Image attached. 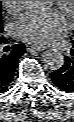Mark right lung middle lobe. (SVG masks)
<instances>
[{
    "instance_id": "obj_1",
    "label": "right lung middle lobe",
    "mask_w": 74,
    "mask_h": 122,
    "mask_svg": "<svg viewBox=\"0 0 74 122\" xmlns=\"http://www.w3.org/2000/svg\"><path fill=\"white\" fill-rule=\"evenodd\" d=\"M3 29H1V27H0V33H1V31H2ZM2 37L0 36V39H1Z\"/></svg>"
}]
</instances>
